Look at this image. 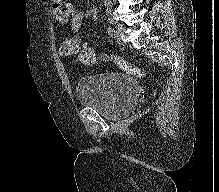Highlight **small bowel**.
I'll return each mask as SVG.
<instances>
[{
	"label": "small bowel",
	"mask_w": 219,
	"mask_h": 192,
	"mask_svg": "<svg viewBox=\"0 0 219 192\" xmlns=\"http://www.w3.org/2000/svg\"><path fill=\"white\" fill-rule=\"evenodd\" d=\"M52 13L55 20L61 24L69 22L70 28L73 32L77 33L81 30L85 18L97 20L99 15V9L97 7L91 8L84 13L81 10H76L73 4V0H51ZM79 41L78 36L74 37ZM103 59V55H101Z\"/></svg>",
	"instance_id": "c3829d8e"
}]
</instances>
